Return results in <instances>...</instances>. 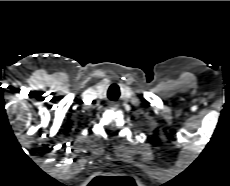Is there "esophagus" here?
I'll return each instance as SVG.
<instances>
[{
	"mask_svg": "<svg viewBox=\"0 0 230 186\" xmlns=\"http://www.w3.org/2000/svg\"><path fill=\"white\" fill-rule=\"evenodd\" d=\"M112 106H116V107H117V106H118V104H116V103H113V104H112Z\"/></svg>",
	"mask_w": 230,
	"mask_h": 186,
	"instance_id": "obj_1",
	"label": "esophagus"
}]
</instances>
